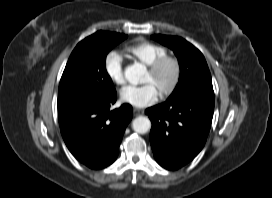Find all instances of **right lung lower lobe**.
Here are the masks:
<instances>
[{
    "mask_svg": "<svg viewBox=\"0 0 272 198\" xmlns=\"http://www.w3.org/2000/svg\"><path fill=\"white\" fill-rule=\"evenodd\" d=\"M117 95L105 99H82L58 105L62 137L76 159L93 169L112 164L119 153L132 107L123 104L110 110Z\"/></svg>",
    "mask_w": 272,
    "mask_h": 198,
    "instance_id": "98d812e1",
    "label": "right lung lower lobe"
}]
</instances>
